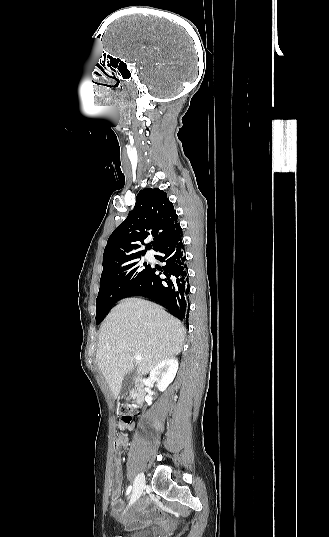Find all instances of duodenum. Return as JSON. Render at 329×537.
<instances>
[{"instance_id":"1","label":"duodenum","mask_w":329,"mask_h":537,"mask_svg":"<svg viewBox=\"0 0 329 537\" xmlns=\"http://www.w3.org/2000/svg\"><path fill=\"white\" fill-rule=\"evenodd\" d=\"M134 405L136 410H139L143 404L145 396V388L142 378L136 377L134 379Z\"/></svg>"}]
</instances>
